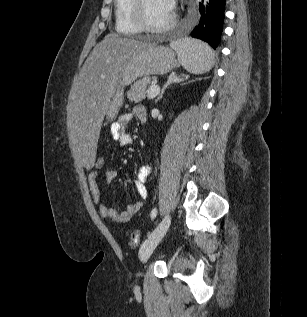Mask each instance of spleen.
Returning <instances> with one entry per match:
<instances>
[{
    "label": "spleen",
    "mask_w": 307,
    "mask_h": 317,
    "mask_svg": "<svg viewBox=\"0 0 307 317\" xmlns=\"http://www.w3.org/2000/svg\"><path fill=\"white\" fill-rule=\"evenodd\" d=\"M176 51L179 63L188 72L202 74L211 69L214 53L204 42L183 39L170 44Z\"/></svg>",
    "instance_id": "obj_1"
}]
</instances>
